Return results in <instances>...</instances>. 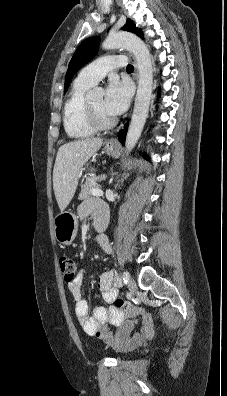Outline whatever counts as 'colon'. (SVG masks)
I'll use <instances>...</instances> for the list:
<instances>
[{
	"mask_svg": "<svg viewBox=\"0 0 227 396\" xmlns=\"http://www.w3.org/2000/svg\"><path fill=\"white\" fill-rule=\"evenodd\" d=\"M60 268L64 280L68 283L73 281L77 271V262L71 257H62L60 258ZM115 305L118 308H122L125 305V301L122 299H117Z\"/></svg>",
	"mask_w": 227,
	"mask_h": 396,
	"instance_id": "obj_1",
	"label": "colon"
}]
</instances>
